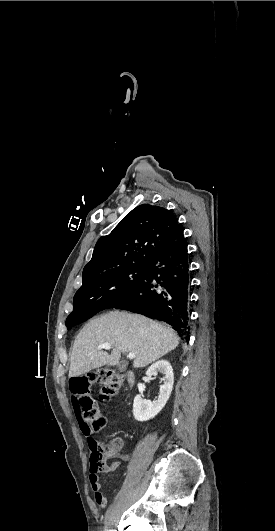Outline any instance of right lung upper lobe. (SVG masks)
Returning <instances> with one entry per match:
<instances>
[{"instance_id": "cb5924a9", "label": "right lung upper lobe", "mask_w": 275, "mask_h": 531, "mask_svg": "<svg viewBox=\"0 0 275 531\" xmlns=\"http://www.w3.org/2000/svg\"><path fill=\"white\" fill-rule=\"evenodd\" d=\"M178 225L174 214L165 208L137 206L98 240L84 267L83 284L121 268L147 266Z\"/></svg>"}]
</instances>
